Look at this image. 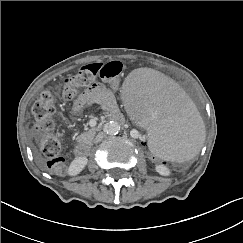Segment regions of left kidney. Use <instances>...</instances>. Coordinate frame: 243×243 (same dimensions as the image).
<instances>
[{
	"mask_svg": "<svg viewBox=\"0 0 243 243\" xmlns=\"http://www.w3.org/2000/svg\"><path fill=\"white\" fill-rule=\"evenodd\" d=\"M155 170L162 176H169L171 174L170 169L162 168L159 166H156Z\"/></svg>",
	"mask_w": 243,
	"mask_h": 243,
	"instance_id": "1",
	"label": "left kidney"
}]
</instances>
